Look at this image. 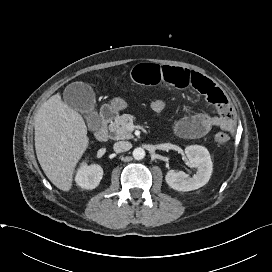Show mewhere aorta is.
<instances>
[{"label":"aorta","mask_w":272,"mask_h":272,"mask_svg":"<svg viewBox=\"0 0 272 272\" xmlns=\"http://www.w3.org/2000/svg\"><path fill=\"white\" fill-rule=\"evenodd\" d=\"M132 154H133L134 159H136V160H141L145 157V151L141 147L135 148L133 150Z\"/></svg>","instance_id":"762f6f07"}]
</instances>
